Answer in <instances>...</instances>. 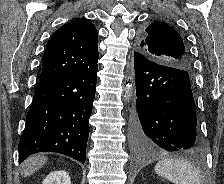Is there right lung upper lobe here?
Instances as JSON below:
<instances>
[{
	"label": "right lung upper lobe",
	"instance_id": "cb5924a9",
	"mask_svg": "<svg viewBox=\"0 0 224 184\" xmlns=\"http://www.w3.org/2000/svg\"><path fill=\"white\" fill-rule=\"evenodd\" d=\"M97 30L85 18L60 27L46 45L39 80L82 72L97 65Z\"/></svg>",
	"mask_w": 224,
	"mask_h": 184
}]
</instances>
